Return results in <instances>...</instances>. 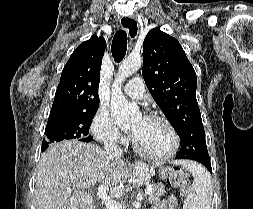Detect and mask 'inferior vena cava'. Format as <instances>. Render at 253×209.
I'll return each mask as SVG.
<instances>
[{
  "mask_svg": "<svg viewBox=\"0 0 253 209\" xmlns=\"http://www.w3.org/2000/svg\"><path fill=\"white\" fill-rule=\"evenodd\" d=\"M118 140L119 137L117 135H114L104 141L105 152L109 159L113 161H119L122 155V149L118 144Z\"/></svg>",
  "mask_w": 253,
  "mask_h": 209,
  "instance_id": "602c4592",
  "label": "inferior vena cava"
}]
</instances>
